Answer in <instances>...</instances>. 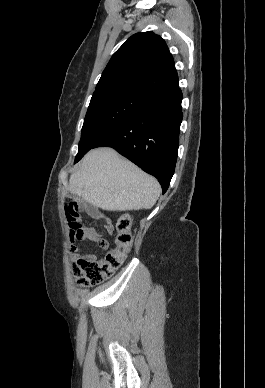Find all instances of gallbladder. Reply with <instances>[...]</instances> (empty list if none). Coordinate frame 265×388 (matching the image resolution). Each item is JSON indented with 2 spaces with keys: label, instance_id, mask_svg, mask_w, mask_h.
<instances>
[{
  "label": "gallbladder",
  "instance_id": "bac80fb5",
  "mask_svg": "<svg viewBox=\"0 0 265 388\" xmlns=\"http://www.w3.org/2000/svg\"><path fill=\"white\" fill-rule=\"evenodd\" d=\"M67 198H71L74 202H80V198L79 196H76V194H68Z\"/></svg>",
  "mask_w": 265,
  "mask_h": 388
}]
</instances>
